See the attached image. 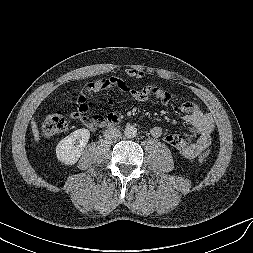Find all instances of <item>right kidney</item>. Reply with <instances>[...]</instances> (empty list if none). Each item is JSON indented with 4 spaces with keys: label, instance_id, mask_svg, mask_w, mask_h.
Returning a JSON list of instances; mask_svg holds the SVG:
<instances>
[{
    "label": "right kidney",
    "instance_id": "obj_1",
    "mask_svg": "<svg viewBox=\"0 0 253 253\" xmlns=\"http://www.w3.org/2000/svg\"><path fill=\"white\" fill-rule=\"evenodd\" d=\"M89 138L88 129L82 128L72 132L57 144V159L67 166L74 165L80 158Z\"/></svg>",
    "mask_w": 253,
    "mask_h": 253
}]
</instances>
